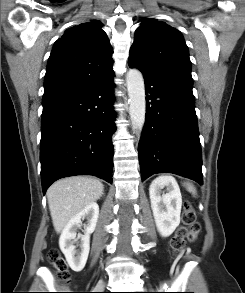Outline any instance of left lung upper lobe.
<instances>
[{
    "mask_svg": "<svg viewBox=\"0 0 245 293\" xmlns=\"http://www.w3.org/2000/svg\"><path fill=\"white\" fill-rule=\"evenodd\" d=\"M129 60L192 89L188 47L180 31L156 19H142Z\"/></svg>",
    "mask_w": 245,
    "mask_h": 293,
    "instance_id": "left-lung-upper-lobe-1",
    "label": "left lung upper lobe"
}]
</instances>
